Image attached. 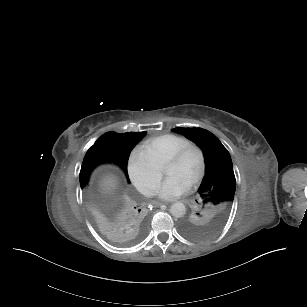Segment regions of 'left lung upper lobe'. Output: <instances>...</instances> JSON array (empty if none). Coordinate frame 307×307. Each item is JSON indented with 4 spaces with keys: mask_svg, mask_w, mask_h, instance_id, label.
<instances>
[{
    "mask_svg": "<svg viewBox=\"0 0 307 307\" xmlns=\"http://www.w3.org/2000/svg\"><path fill=\"white\" fill-rule=\"evenodd\" d=\"M195 142L205 157V176L198 189L193 213L182 220L180 229L189 238L202 240L223 227L233 203L236 179L227 149L211 132L201 128H175Z\"/></svg>",
    "mask_w": 307,
    "mask_h": 307,
    "instance_id": "1",
    "label": "left lung upper lobe"
}]
</instances>
